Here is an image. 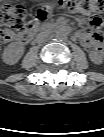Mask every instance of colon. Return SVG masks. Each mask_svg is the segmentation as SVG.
Masks as SVG:
<instances>
[{
    "mask_svg": "<svg viewBox=\"0 0 104 137\" xmlns=\"http://www.w3.org/2000/svg\"><path fill=\"white\" fill-rule=\"evenodd\" d=\"M57 6L69 13H93L91 25L92 37L100 43L103 39L101 30L102 19L99 13L104 10V0H56ZM52 12L50 7H42L38 11V19L46 20ZM0 20L3 27V36L24 30L27 25V10L24 5L15 3L4 5L0 11ZM100 50V47H96Z\"/></svg>",
    "mask_w": 104,
    "mask_h": 137,
    "instance_id": "1",
    "label": "colon"
}]
</instances>
